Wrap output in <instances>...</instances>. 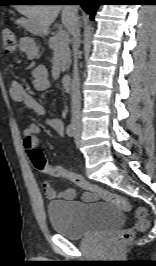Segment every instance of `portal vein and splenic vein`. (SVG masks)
I'll list each match as a JSON object with an SVG mask.
<instances>
[{"label":"portal vein and splenic vein","mask_w":156,"mask_h":266,"mask_svg":"<svg viewBox=\"0 0 156 266\" xmlns=\"http://www.w3.org/2000/svg\"><path fill=\"white\" fill-rule=\"evenodd\" d=\"M58 35L61 37V38H66L67 37V33L65 30H59L58 32Z\"/></svg>","instance_id":"portal-vein-and-splenic-vein-1"}]
</instances>
